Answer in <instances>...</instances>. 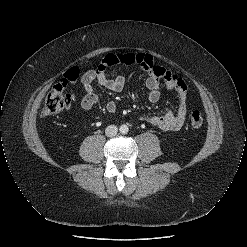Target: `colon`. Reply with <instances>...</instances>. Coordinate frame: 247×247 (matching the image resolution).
<instances>
[{
    "label": "colon",
    "instance_id": "obj_1",
    "mask_svg": "<svg viewBox=\"0 0 247 247\" xmlns=\"http://www.w3.org/2000/svg\"><path fill=\"white\" fill-rule=\"evenodd\" d=\"M79 73L80 71L76 68L69 70L65 75V79L49 91L41 110L42 116H53L71 107L76 95L70 90V84L77 79ZM189 123L193 128L201 127L203 124L202 113L198 110L191 112Z\"/></svg>",
    "mask_w": 247,
    "mask_h": 247
}]
</instances>
